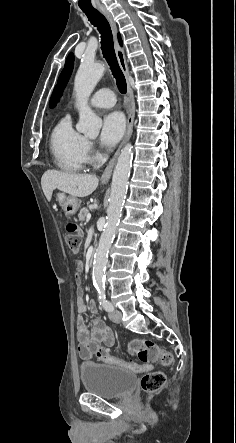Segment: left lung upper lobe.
<instances>
[{
  "mask_svg": "<svg viewBox=\"0 0 236 443\" xmlns=\"http://www.w3.org/2000/svg\"><path fill=\"white\" fill-rule=\"evenodd\" d=\"M73 66H74V56L73 53H70L66 59L65 62V66L64 69L62 71V73L59 76L58 82H57V86L55 87L51 100H50V107L53 108L59 97L61 96L63 89L72 73L73 70Z\"/></svg>",
  "mask_w": 236,
  "mask_h": 443,
  "instance_id": "1",
  "label": "left lung upper lobe"
}]
</instances>
